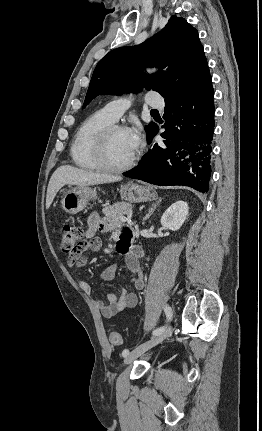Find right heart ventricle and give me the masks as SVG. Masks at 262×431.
<instances>
[{
    "mask_svg": "<svg viewBox=\"0 0 262 431\" xmlns=\"http://www.w3.org/2000/svg\"><path fill=\"white\" fill-rule=\"evenodd\" d=\"M114 122L104 109H101L81 123L70 147L71 158L77 167L89 171L101 169L95 158L97 137L103 128Z\"/></svg>",
    "mask_w": 262,
    "mask_h": 431,
    "instance_id": "e07e8e85",
    "label": "right heart ventricle"
}]
</instances>
